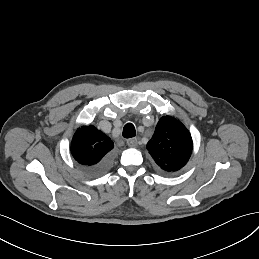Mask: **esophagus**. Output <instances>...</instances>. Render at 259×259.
Masks as SVG:
<instances>
[{"label": "esophagus", "mask_w": 259, "mask_h": 259, "mask_svg": "<svg viewBox=\"0 0 259 259\" xmlns=\"http://www.w3.org/2000/svg\"><path fill=\"white\" fill-rule=\"evenodd\" d=\"M127 145L129 147H136L137 146V139L136 138H131L127 140Z\"/></svg>", "instance_id": "obj_1"}]
</instances>
